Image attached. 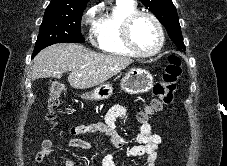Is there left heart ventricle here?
Segmentation results:
<instances>
[{
  "mask_svg": "<svg viewBox=\"0 0 227 166\" xmlns=\"http://www.w3.org/2000/svg\"><path fill=\"white\" fill-rule=\"evenodd\" d=\"M133 40L143 51L153 50L158 43V32L151 19L140 17L132 29Z\"/></svg>",
  "mask_w": 227,
  "mask_h": 166,
  "instance_id": "left-heart-ventricle-1",
  "label": "left heart ventricle"
}]
</instances>
